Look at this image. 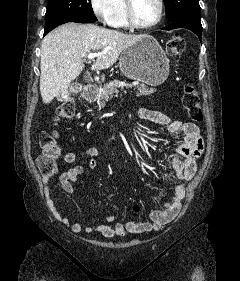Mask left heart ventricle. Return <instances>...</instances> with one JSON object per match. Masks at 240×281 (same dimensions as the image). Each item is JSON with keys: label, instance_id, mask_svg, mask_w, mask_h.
<instances>
[{"label": "left heart ventricle", "instance_id": "1", "mask_svg": "<svg viewBox=\"0 0 240 281\" xmlns=\"http://www.w3.org/2000/svg\"><path fill=\"white\" fill-rule=\"evenodd\" d=\"M157 0H134L135 18L141 24L154 21L158 14Z\"/></svg>", "mask_w": 240, "mask_h": 281}]
</instances>
